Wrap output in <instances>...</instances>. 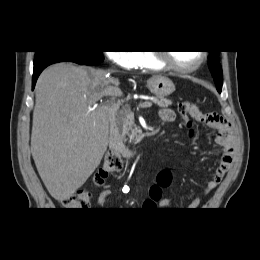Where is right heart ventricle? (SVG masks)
Returning <instances> with one entry per match:
<instances>
[{
	"label": "right heart ventricle",
	"instance_id": "right-heart-ventricle-1",
	"mask_svg": "<svg viewBox=\"0 0 260 260\" xmlns=\"http://www.w3.org/2000/svg\"><path fill=\"white\" fill-rule=\"evenodd\" d=\"M137 67L149 70H162L164 66L159 63L149 51H142L138 53Z\"/></svg>",
	"mask_w": 260,
	"mask_h": 260
}]
</instances>
